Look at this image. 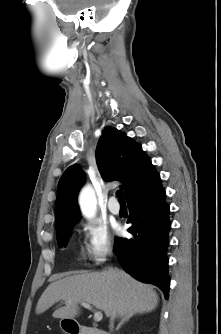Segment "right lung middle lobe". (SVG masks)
<instances>
[{
	"label": "right lung middle lobe",
	"mask_w": 221,
	"mask_h": 334,
	"mask_svg": "<svg viewBox=\"0 0 221 334\" xmlns=\"http://www.w3.org/2000/svg\"><path fill=\"white\" fill-rule=\"evenodd\" d=\"M72 228H73V225L68 226L57 233V241L60 247L66 246L68 239L71 235Z\"/></svg>",
	"instance_id": "1"
}]
</instances>
